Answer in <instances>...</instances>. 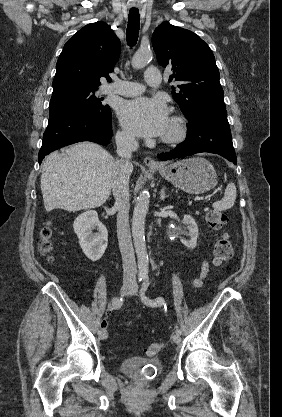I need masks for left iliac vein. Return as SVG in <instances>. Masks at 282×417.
I'll list each match as a JSON object with an SVG mask.
<instances>
[{
	"instance_id": "obj_1",
	"label": "left iliac vein",
	"mask_w": 282,
	"mask_h": 417,
	"mask_svg": "<svg viewBox=\"0 0 282 417\" xmlns=\"http://www.w3.org/2000/svg\"><path fill=\"white\" fill-rule=\"evenodd\" d=\"M129 293H130V294H132V295H135V294L137 293V287L134 285V286H133V289H132ZM172 340H173L176 344H178V343H180V341H181V337H180V335H179V334L175 333V334H173V335H172Z\"/></svg>"
}]
</instances>
